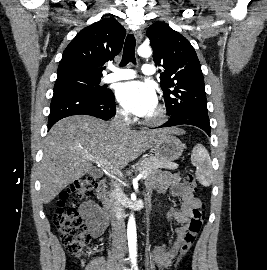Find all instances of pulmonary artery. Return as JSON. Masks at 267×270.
I'll use <instances>...</instances> for the list:
<instances>
[{
    "mask_svg": "<svg viewBox=\"0 0 267 270\" xmlns=\"http://www.w3.org/2000/svg\"><path fill=\"white\" fill-rule=\"evenodd\" d=\"M141 72L144 75H153L155 73V67L152 64H144L141 68ZM136 77V72L129 68H116L112 67V73L106 75L103 81L106 83L128 80Z\"/></svg>",
    "mask_w": 267,
    "mask_h": 270,
    "instance_id": "1",
    "label": "pulmonary artery"
}]
</instances>
